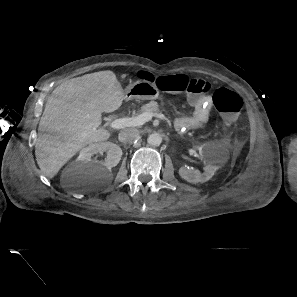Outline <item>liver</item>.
Masks as SVG:
<instances>
[{"label":"liver","instance_id":"1","mask_svg":"<svg viewBox=\"0 0 297 297\" xmlns=\"http://www.w3.org/2000/svg\"><path fill=\"white\" fill-rule=\"evenodd\" d=\"M124 92L116 75L99 71L70 79L48 97L39 122L35 157L41 172L53 178L88 144L110 138L101 125L102 112L117 110Z\"/></svg>","mask_w":297,"mask_h":297}]
</instances>
